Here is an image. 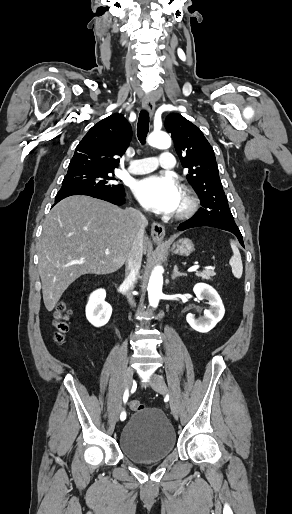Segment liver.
<instances>
[{
  "label": "liver",
  "mask_w": 292,
  "mask_h": 514,
  "mask_svg": "<svg viewBox=\"0 0 292 514\" xmlns=\"http://www.w3.org/2000/svg\"><path fill=\"white\" fill-rule=\"evenodd\" d=\"M38 270L46 310L83 274H112L126 262L136 232L129 210L90 196H69L46 216ZM148 238H143L147 252ZM109 250L110 254H105Z\"/></svg>",
  "instance_id": "1"
}]
</instances>
